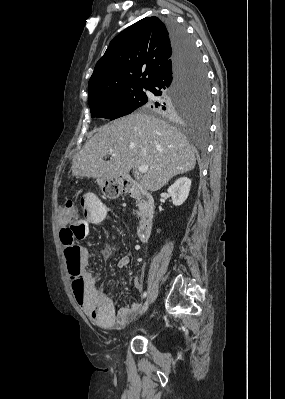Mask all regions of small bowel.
Segmentation results:
<instances>
[{
	"label": "small bowel",
	"instance_id": "1",
	"mask_svg": "<svg viewBox=\"0 0 285 399\" xmlns=\"http://www.w3.org/2000/svg\"><path fill=\"white\" fill-rule=\"evenodd\" d=\"M106 218L107 212L103 203L95 195H86L81 208V217H79L80 237H86L91 225H101ZM129 261L128 257H122L118 261L119 268L127 267ZM66 263L70 272L71 266L67 258ZM88 264L89 251L81 248L79 271L84 282V290L77 293L71 289L73 297L96 324L105 328H123L140 311L141 305L132 302L115 310L112 300L98 290L95 277L87 271ZM134 286L140 289L141 282L135 279Z\"/></svg>",
	"mask_w": 285,
	"mask_h": 399
}]
</instances>
